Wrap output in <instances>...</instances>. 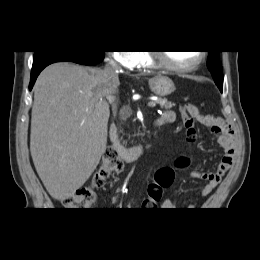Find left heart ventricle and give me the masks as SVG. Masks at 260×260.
<instances>
[{
    "instance_id": "left-heart-ventricle-1",
    "label": "left heart ventricle",
    "mask_w": 260,
    "mask_h": 260,
    "mask_svg": "<svg viewBox=\"0 0 260 260\" xmlns=\"http://www.w3.org/2000/svg\"><path fill=\"white\" fill-rule=\"evenodd\" d=\"M166 59L175 65L186 66L194 63L199 56L198 51H172L164 53Z\"/></svg>"
}]
</instances>
